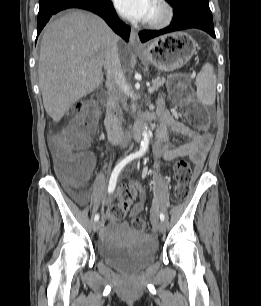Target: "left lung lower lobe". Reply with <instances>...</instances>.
Returning a JSON list of instances; mask_svg holds the SVG:
<instances>
[{
  "mask_svg": "<svg viewBox=\"0 0 261 306\" xmlns=\"http://www.w3.org/2000/svg\"><path fill=\"white\" fill-rule=\"evenodd\" d=\"M174 8L172 23L162 30H145L139 32L142 42L154 37L189 28H197L206 31L213 38H216L212 13L209 8V0H183Z\"/></svg>",
  "mask_w": 261,
  "mask_h": 306,
  "instance_id": "1",
  "label": "left lung lower lobe"
}]
</instances>
